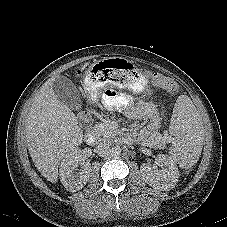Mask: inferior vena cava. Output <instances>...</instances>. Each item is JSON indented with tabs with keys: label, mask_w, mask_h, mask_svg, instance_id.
Listing matches in <instances>:
<instances>
[{
	"label": "inferior vena cava",
	"mask_w": 227,
	"mask_h": 227,
	"mask_svg": "<svg viewBox=\"0 0 227 227\" xmlns=\"http://www.w3.org/2000/svg\"><path fill=\"white\" fill-rule=\"evenodd\" d=\"M96 152L99 156H106L109 155L111 152L110 146L106 142H100L96 146Z\"/></svg>",
	"instance_id": "inferior-vena-cava-1"
}]
</instances>
